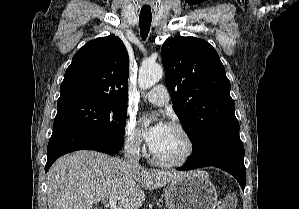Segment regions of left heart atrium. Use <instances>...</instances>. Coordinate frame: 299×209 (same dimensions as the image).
I'll list each match as a JSON object with an SVG mask.
<instances>
[{"label": "left heart atrium", "mask_w": 299, "mask_h": 209, "mask_svg": "<svg viewBox=\"0 0 299 209\" xmlns=\"http://www.w3.org/2000/svg\"><path fill=\"white\" fill-rule=\"evenodd\" d=\"M144 121L147 122L148 119H144ZM167 128L168 125L164 121L159 120L144 130V139L150 148H152L160 140Z\"/></svg>", "instance_id": "39dd6f15"}]
</instances>
